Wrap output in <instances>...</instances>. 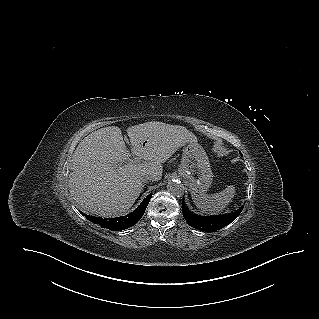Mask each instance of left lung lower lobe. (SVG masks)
I'll return each instance as SVG.
<instances>
[{
    "label": "left lung lower lobe",
    "mask_w": 319,
    "mask_h": 319,
    "mask_svg": "<svg viewBox=\"0 0 319 319\" xmlns=\"http://www.w3.org/2000/svg\"><path fill=\"white\" fill-rule=\"evenodd\" d=\"M244 205L241 206L236 212L227 215H217V216H198L192 213L185 205L184 201L182 203L183 216L188 223V225L200 230V231H217L231 222H233L243 210Z\"/></svg>",
    "instance_id": "left-lung-lower-lobe-1"
}]
</instances>
